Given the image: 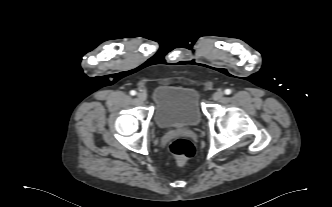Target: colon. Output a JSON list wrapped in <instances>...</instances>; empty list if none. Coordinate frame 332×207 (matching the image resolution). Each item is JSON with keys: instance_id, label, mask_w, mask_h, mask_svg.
I'll return each mask as SVG.
<instances>
[{"instance_id": "obj_1", "label": "colon", "mask_w": 332, "mask_h": 207, "mask_svg": "<svg viewBox=\"0 0 332 207\" xmlns=\"http://www.w3.org/2000/svg\"><path fill=\"white\" fill-rule=\"evenodd\" d=\"M169 151L179 164H183L195 154L194 144L186 138H176L169 145Z\"/></svg>"}]
</instances>
